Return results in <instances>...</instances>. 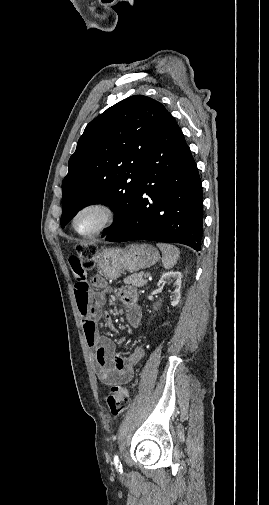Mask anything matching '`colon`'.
I'll return each instance as SVG.
<instances>
[{
    "label": "colon",
    "instance_id": "5ec220e1",
    "mask_svg": "<svg viewBox=\"0 0 269 505\" xmlns=\"http://www.w3.org/2000/svg\"><path fill=\"white\" fill-rule=\"evenodd\" d=\"M97 253V248L93 244H80L77 247V254L70 257V259H80L82 262V267L86 271L93 268L95 257ZM107 405L113 416H119L122 414L129 406L130 395L129 391L119 385H113L111 391L107 396Z\"/></svg>",
    "mask_w": 269,
    "mask_h": 505
}]
</instances>
